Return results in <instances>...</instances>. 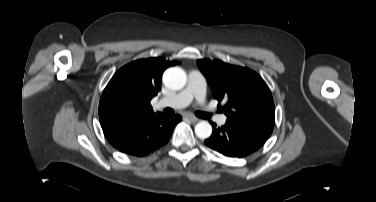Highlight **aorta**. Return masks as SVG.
<instances>
[{
  "label": "aorta",
  "instance_id": "aorta-1",
  "mask_svg": "<svg viewBox=\"0 0 376 202\" xmlns=\"http://www.w3.org/2000/svg\"><path fill=\"white\" fill-rule=\"evenodd\" d=\"M186 81V73L179 67L169 68L163 74V82L165 86L173 90L184 88ZM195 134L200 139H206L212 134V126L207 121H201L195 126Z\"/></svg>",
  "mask_w": 376,
  "mask_h": 202
}]
</instances>
